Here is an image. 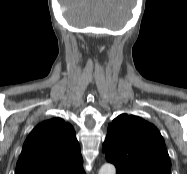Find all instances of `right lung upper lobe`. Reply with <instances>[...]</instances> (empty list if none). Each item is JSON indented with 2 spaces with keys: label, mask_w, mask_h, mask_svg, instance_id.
<instances>
[{
  "label": "right lung upper lobe",
  "mask_w": 187,
  "mask_h": 174,
  "mask_svg": "<svg viewBox=\"0 0 187 174\" xmlns=\"http://www.w3.org/2000/svg\"><path fill=\"white\" fill-rule=\"evenodd\" d=\"M15 174H85L73 127L60 118L38 124L24 142Z\"/></svg>",
  "instance_id": "1"
}]
</instances>
